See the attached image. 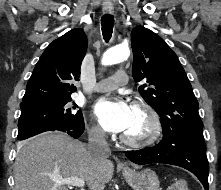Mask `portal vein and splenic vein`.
Returning a JSON list of instances; mask_svg holds the SVG:
<instances>
[{
  "mask_svg": "<svg viewBox=\"0 0 221 190\" xmlns=\"http://www.w3.org/2000/svg\"><path fill=\"white\" fill-rule=\"evenodd\" d=\"M53 181L56 182L57 184H65L67 186H77V187L82 188V190L85 186V181L83 179L76 178V177L53 178Z\"/></svg>",
  "mask_w": 221,
  "mask_h": 190,
  "instance_id": "obj_1",
  "label": "portal vein and splenic vein"
}]
</instances>
